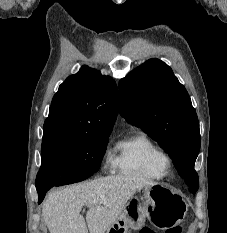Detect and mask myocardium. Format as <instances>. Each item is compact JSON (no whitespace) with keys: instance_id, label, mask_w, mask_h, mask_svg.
Masks as SVG:
<instances>
[{"instance_id":"f54148a6","label":"myocardium","mask_w":227,"mask_h":233,"mask_svg":"<svg viewBox=\"0 0 227 233\" xmlns=\"http://www.w3.org/2000/svg\"><path fill=\"white\" fill-rule=\"evenodd\" d=\"M171 168H172L171 160L167 158L162 164V169L165 175H167L171 171Z\"/></svg>"}]
</instances>
